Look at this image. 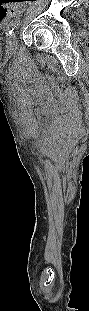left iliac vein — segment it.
<instances>
[{
	"label": "left iliac vein",
	"instance_id": "1",
	"mask_svg": "<svg viewBox=\"0 0 89 311\" xmlns=\"http://www.w3.org/2000/svg\"><path fill=\"white\" fill-rule=\"evenodd\" d=\"M6 49H7V53L8 54H13L15 52V50L17 49V34H16V31L11 34L10 39H9V41L7 43Z\"/></svg>",
	"mask_w": 89,
	"mask_h": 311
}]
</instances>
